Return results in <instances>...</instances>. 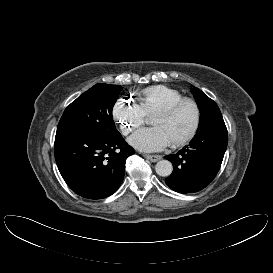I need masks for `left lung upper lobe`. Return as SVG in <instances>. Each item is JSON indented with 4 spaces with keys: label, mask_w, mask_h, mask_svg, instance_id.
<instances>
[{
    "label": "left lung upper lobe",
    "mask_w": 273,
    "mask_h": 273,
    "mask_svg": "<svg viewBox=\"0 0 273 273\" xmlns=\"http://www.w3.org/2000/svg\"><path fill=\"white\" fill-rule=\"evenodd\" d=\"M192 92L194 93L201 113L196 136L206 133L227 131L217 104L196 87H194Z\"/></svg>",
    "instance_id": "left-lung-upper-lobe-1"
}]
</instances>
